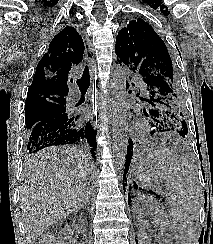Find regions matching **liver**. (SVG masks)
<instances>
[{
    "instance_id": "liver-1",
    "label": "liver",
    "mask_w": 213,
    "mask_h": 244,
    "mask_svg": "<svg viewBox=\"0 0 213 244\" xmlns=\"http://www.w3.org/2000/svg\"><path fill=\"white\" fill-rule=\"evenodd\" d=\"M89 161L86 151L72 146L49 147L31 157L20 189L29 244L81 206L88 185Z\"/></svg>"
}]
</instances>
